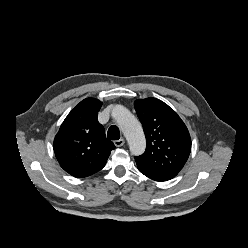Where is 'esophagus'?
Returning a JSON list of instances; mask_svg holds the SVG:
<instances>
[{"instance_id":"esophagus-1","label":"esophagus","mask_w":248,"mask_h":248,"mask_svg":"<svg viewBox=\"0 0 248 248\" xmlns=\"http://www.w3.org/2000/svg\"><path fill=\"white\" fill-rule=\"evenodd\" d=\"M124 143H125V140L122 138V139H119V140H116V141H114V145L116 146V147H121V146H123L124 145Z\"/></svg>"}]
</instances>
